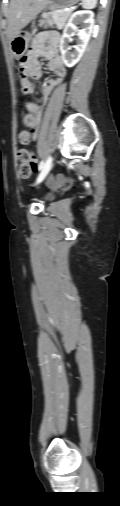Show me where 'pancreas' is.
Returning <instances> with one entry per match:
<instances>
[{"instance_id":"pancreas-1","label":"pancreas","mask_w":120,"mask_h":506,"mask_svg":"<svg viewBox=\"0 0 120 506\" xmlns=\"http://www.w3.org/2000/svg\"><path fill=\"white\" fill-rule=\"evenodd\" d=\"M70 15V11L54 10L45 14L44 17L47 19V22L50 26H53L55 24L58 29H62Z\"/></svg>"}]
</instances>
